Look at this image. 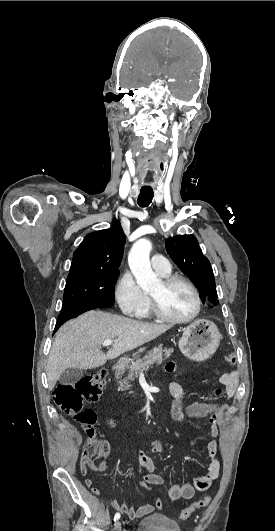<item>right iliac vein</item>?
Returning <instances> with one entry per match:
<instances>
[{
	"mask_svg": "<svg viewBox=\"0 0 275 531\" xmlns=\"http://www.w3.org/2000/svg\"><path fill=\"white\" fill-rule=\"evenodd\" d=\"M114 531H121V523L119 521L115 523Z\"/></svg>",
	"mask_w": 275,
	"mask_h": 531,
	"instance_id": "63e3f726",
	"label": "right iliac vein"
}]
</instances>
